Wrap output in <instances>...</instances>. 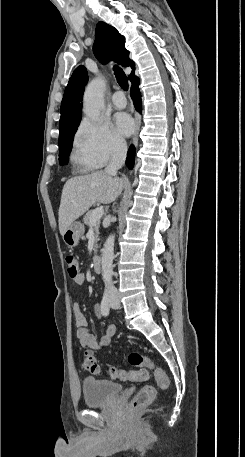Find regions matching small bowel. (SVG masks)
<instances>
[{"label":"small bowel","mask_w":245,"mask_h":457,"mask_svg":"<svg viewBox=\"0 0 245 457\" xmlns=\"http://www.w3.org/2000/svg\"><path fill=\"white\" fill-rule=\"evenodd\" d=\"M73 281L77 284H82L85 280L84 273H78V275L72 278ZM95 316L100 318L103 314L101 311V305H97L94 309ZM73 318L74 323L77 328L76 336L80 344L88 349L100 350L109 347L112 342L113 337L116 334V328L113 325H109L106 329V333L97 339L88 329V323L84 317L79 303L73 305Z\"/></svg>","instance_id":"obj_1"}]
</instances>
